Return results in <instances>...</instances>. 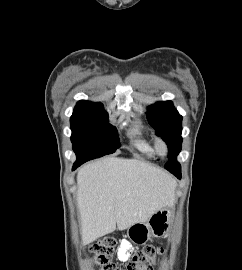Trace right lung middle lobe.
Returning <instances> with one entry per match:
<instances>
[{"label": "right lung middle lobe", "mask_w": 242, "mask_h": 270, "mask_svg": "<svg viewBox=\"0 0 242 270\" xmlns=\"http://www.w3.org/2000/svg\"><path fill=\"white\" fill-rule=\"evenodd\" d=\"M75 163L114 153L120 147L116 128L108 123V114L99 111L91 114H73L70 119Z\"/></svg>", "instance_id": "dd1d6c3e"}]
</instances>
